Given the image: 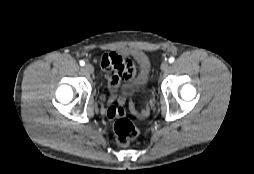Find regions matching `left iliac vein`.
<instances>
[{"instance_id":"left-iliac-vein-1","label":"left iliac vein","mask_w":254,"mask_h":174,"mask_svg":"<svg viewBox=\"0 0 254 174\" xmlns=\"http://www.w3.org/2000/svg\"><path fill=\"white\" fill-rule=\"evenodd\" d=\"M169 68H170V64L168 62L165 61L161 64L162 71H167Z\"/></svg>"}]
</instances>
